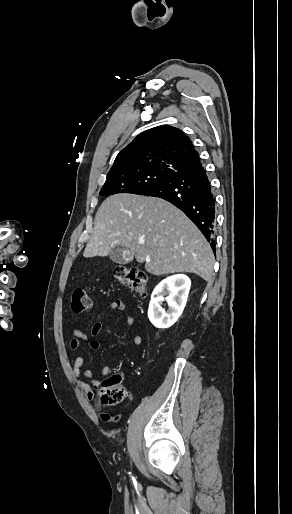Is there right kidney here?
I'll list each match as a JSON object with an SVG mask.
<instances>
[{
  "label": "right kidney",
  "mask_w": 292,
  "mask_h": 514,
  "mask_svg": "<svg viewBox=\"0 0 292 514\" xmlns=\"http://www.w3.org/2000/svg\"><path fill=\"white\" fill-rule=\"evenodd\" d=\"M190 286L191 280L185 274L169 276L156 286L148 308V318L155 328H170L177 322L186 306ZM164 300L169 306L167 312L161 308Z\"/></svg>",
  "instance_id": "1"
}]
</instances>
